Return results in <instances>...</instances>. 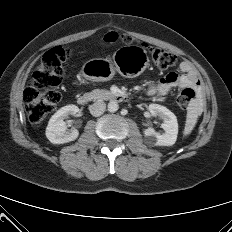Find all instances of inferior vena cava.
<instances>
[{
    "label": "inferior vena cava",
    "mask_w": 232,
    "mask_h": 232,
    "mask_svg": "<svg viewBox=\"0 0 232 232\" xmlns=\"http://www.w3.org/2000/svg\"><path fill=\"white\" fill-rule=\"evenodd\" d=\"M105 109H106V104L104 102L96 101L90 106V113L93 116L98 117L104 113Z\"/></svg>",
    "instance_id": "1"
}]
</instances>
